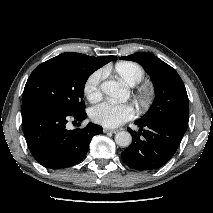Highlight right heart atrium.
<instances>
[{
    "mask_svg": "<svg viewBox=\"0 0 213 213\" xmlns=\"http://www.w3.org/2000/svg\"><path fill=\"white\" fill-rule=\"evenodd\" d=\"M104 75V70L98 69L87 77L84 83V94L88 100L95 101L101 96V82Z\"/></svg>",
    "mask_w": 213,
    "mask_h": 213,
    "instance_id": "right-heart-atrium-1",
    "label": "right heart atrium"
}]
</instances>
